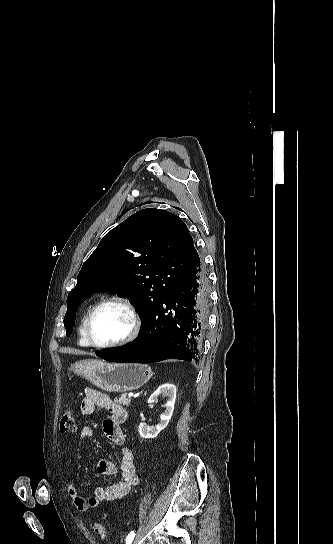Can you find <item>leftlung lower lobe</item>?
Wrapping results in <instances>:
<instances>
[{
	"label": "left lung lower lobe",
	"mask_w": 333,
	"mask_h": 544,
	"mask_svg": "<svg viewBox=\"0 0 333 544\" xmlns=\"http://www.w3.org/2000/svg\"><path fill=\"white\" fill-rule=\"evenodd\" d=\"M208 278L203 262L188 269L159 306L144 319L137 338L96 355L108 361L141 363L198 359L207 322Z\"/></svg>",
	"instance_id": "1"
}]
</instances>
